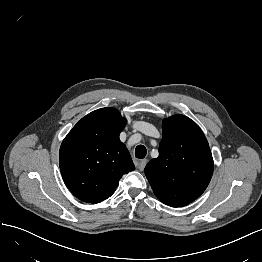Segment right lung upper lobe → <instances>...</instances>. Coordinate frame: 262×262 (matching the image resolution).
I'll use <instances>...</instances> for the list:
<instances>
[{
    "instance_id": "right-lung-upper-lobe-1",
    "label": "right lung upper lobe",
    "mask_w": 262,
    "mask_h": 262,
    "mask_svg": "<svg viewBox=\"0 0 262 262\" xmlns=\"http://www.w3.org/2000/svg\"><path fill=\"white\" fill-rule=\"evenodd\" d=\"M126 119L114 108L83 117L63 140L59 164L63 180L78 199L99 203L109 198L121 177L135 169L119 134Z\"/></svg>"
}]
</instances>
